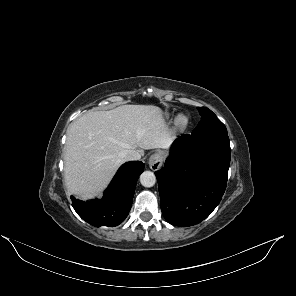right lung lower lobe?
Wrapping results in <instances>:
<instances>
[{"label":"right lung lower lobe","mask_w":296,"mask_h":296,"mask_svg":"<svg viewBox=\"0 0 296 296\" xmlns=\"http://www.w3.org/2000/svg\"><path fill=\"white\" fill-rule=\"evenodd\" d=\"M143 171L144 164L140 161L125 163L114 176L102 199L83 202L72 196L73 208L83 220L93 226L119 225L129 214L136 182Z\"/></svg>","instance_id":"right-lung-lower-lobe-1"}]
</instances>
